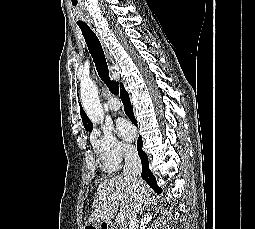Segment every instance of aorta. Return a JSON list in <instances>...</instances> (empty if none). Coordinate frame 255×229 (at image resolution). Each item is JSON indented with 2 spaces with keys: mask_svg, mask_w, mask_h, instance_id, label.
Segmentation results:
<instances>
[{
  "mask_svg": "<svg viewBox=\"0 0 255 229\" xmlns=\"http://www.w3.org/2000/svg\"><path fill=\"white\" fill-rule=\"evenodd\" d=\"M80 94L82 106L88 118L94 123L102 122L104 120V111L95 83L91 80L82 81Z\"/></svg>",
  "mask_w": 255,
  "mask_h": 229,
  "instance_id": "aorta-1",
  "label": "aorta"
}]
</instances>
